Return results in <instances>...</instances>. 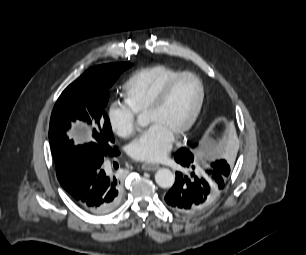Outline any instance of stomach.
Returning <instances> with one entry per match:
<instances>
[{"label":"stomach","mask_w":306,"mask_h":255,"mask_svg":"<svg viewBox=\"0 0 306 255\" xmlns=\"http://www.w3.org/2000/svg\"><path fill=\"white\" fill-rule=\"evenodd\" d=\"M215 142L213 140H208L201 146V154L204 157H211L213 154Z\"/></svg>","instance_id":"stomach-1"}]
</instances>
